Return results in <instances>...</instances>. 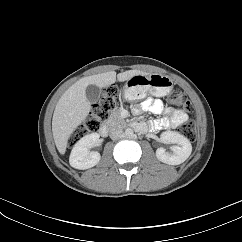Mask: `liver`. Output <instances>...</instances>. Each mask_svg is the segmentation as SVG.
Instances as JSON below:
<instances>
[{"label":"liver","instance_id":"6515ba94","mask_svg":"<svg viewBox=\"0 0 242 242\" xmlns=\"http://www.w3.org/2000/svg\"><path fill=\"white\" fill-rule=\"evenodd\" d=\"M137 74L149 73L139 70H128L117 75L119 82H124ZM116 81V72L109 71L81 78L69 87L61 96L54 110L52 119V132L55 145L60 154H65L68 140L75 129L87 118L91 103L86 97L88 85L103 88Z\"/></svg>","mask_w":242,"mask_h":242}]
</instances>
